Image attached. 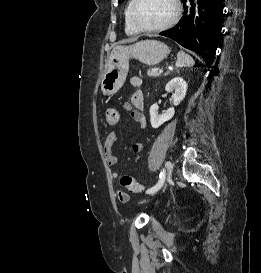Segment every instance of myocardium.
<instances>
[{"label": "myocardium", "instance_id": "obj_1", "mask_svg": "<svg viewBox=\"0 0 261 273\" xmlns=\"http://www.w3.org/2000/svg\"><path fill=\"white\" fill-rule=\"evenodd\" d=\"M138 1L139 0H132L130 8H129V14H128L130 24L137 32H143V33L163 32L173 27L177 23L180 16V5L178 0H171L172 6H173V14L168 22L156 27H149V28L139 26L134 20V10L136 8Z\"/></svg>", "mask_w": 261, "mask_h": 273}]
</instances>
